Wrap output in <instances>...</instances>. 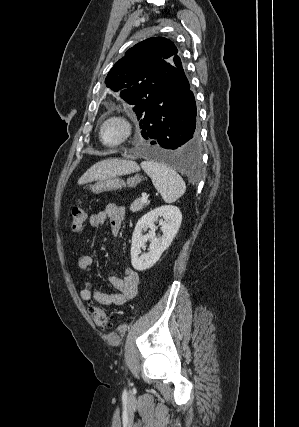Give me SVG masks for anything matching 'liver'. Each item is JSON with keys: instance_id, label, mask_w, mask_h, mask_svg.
<instances>
[{"instance_id": "1", "label": "liver", "mask_w": 299, "mask_h": 427, "mask_svg": "<svg viewBox=\"0 0 299 427\" xmlns=\"http://www.w3.org/2000/svg\"><path fill=\"white\" fill-rule=\"evenodd\" d=\"M139 170L134 161L123 159H105L91 166L78 180V184H86L107 177L129 174Z\"/></svg>"}]
</instances>
